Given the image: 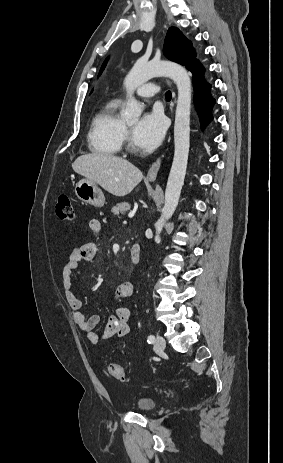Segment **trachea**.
Listing matches in <instances>:
<instances>
[{"mask_svg": "<svg viewBox=\"0 0 283 463\" xmlns=\"http://www.w3.org/2000/svg\"><path fill=\"white\" fill-rule=\"evenodd\" d=\"M165 98H166V100H171V98H172V93H171L170 90H168V91L165 93Z\"/></svg>", "mask_w": 283, "mask_h": 463, "instance_id": "1", "label": "trachea"}]
</instances>
